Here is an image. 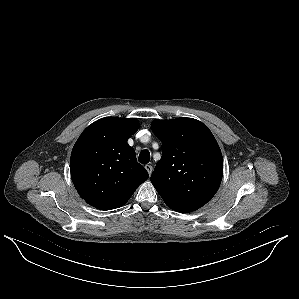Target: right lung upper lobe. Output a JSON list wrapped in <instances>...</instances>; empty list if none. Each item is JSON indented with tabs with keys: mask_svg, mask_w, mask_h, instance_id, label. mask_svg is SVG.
I'll list each match as a JSON object with an SVG mask.
<instances>
[{
	"mask_svg": "<svg viewBox=\"0 0 299 299\" xmlns=\"http://www.w3.org/2000/svg\"><path fill=\"white\" fill-rule=\"evenodd\" d=\"M139 127L134 118L105 117L89 125L75 143L70 159L73 184L91 206H123L149 177L137 163L127 140Z\"/></svg>",
	"mask_w": 299,
	"mask_h": 299,
	"instance_id": "cb5924a9",
	"label": "right lung upper lobe"
}]
</instances>
